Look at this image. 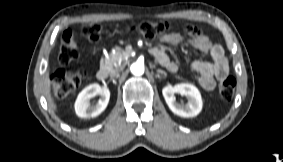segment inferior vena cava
<instances>
[{
    "instance_id": "1",
    "label": "inferior vena cava",
    "mask_w": 283,
    "mask_h": 162,
    "mask_svg": "<svg viewBox=\"0 0 283 162\" xmlns=\"http://www.w3.org/2000/svg\"><path fill=\"white\" fill-rule=\"evenodd\" d=\"M118 72H119L118 69H114V70L111 71L110 75H111L112 77H114V76H116V75L118 74Z\"/></svg>"
}]
</instances>
